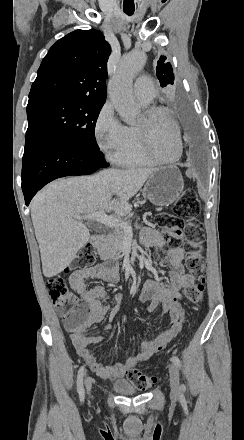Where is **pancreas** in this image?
Segmentation results:
<instances>
[{"label": "pancreas", "instance_id": "pancreas-1", "mask_svg": "<svg viewBox=\"0 0 244 440\" xmlns=\"http://www.w3.org/2000/svg\"><path fill=\"white\" fill-rule=\"evenodd\" d=\"M125 232L114 230L113 234H107L97 246V252L101 260H118L122 258V242Z\"/></svg>", "mask_w": 244, "mask_h": 440}]
</instances>
